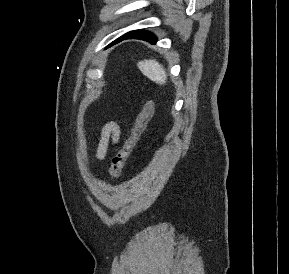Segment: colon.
<instances>
[{"instance_id":"5ec220e1","label":"colon","mask_w":289,"mask_h":274,"mask_svg":"<svg viewBox=\"0 0 289 274\" xmlns=\"http://www.w3.org/2000/svg\"><path fill=\"white\" fill-rule=\"evenodd\" d=\"M155 109L154 101L148 99L141 112L139 113L135 124L132 128L129 138L124 143L123 147L113 157L111 166L109 169V177L111 180H116L121 175L125 168L128 158L135 146L137 145L142 133L144 132L148 122L151 120Z\"/></svg>"}]
</instances>
